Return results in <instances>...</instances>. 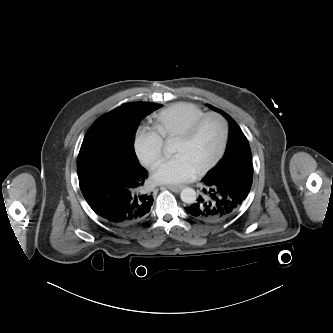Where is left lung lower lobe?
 I'll return each instance as SVG.
<instances>
[{"mask_svg":"<svg viewBox=\"0 0 333 333\" xmlns=\"http://www.w3.org/2000/svg\"><path fill=\"white\" fill-rule=\"evenodd\" d=\"M252 180L253 174L246 171H230L219 178L206 175L197 201L185 210L204 222L223 221L246 199Z\"/></svg>","mask_w":333,"mask_h":333,"instance_id":"0a47b994","label":"left lung lower lobe"}]
</instances>
